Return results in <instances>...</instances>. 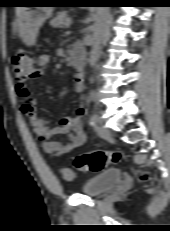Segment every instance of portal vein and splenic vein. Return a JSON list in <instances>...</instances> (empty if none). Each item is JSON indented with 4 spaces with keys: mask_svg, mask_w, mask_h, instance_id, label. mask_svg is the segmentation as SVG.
<instances>
[{
    "mask_svg": "<svg viewBox=\"0 0 170 231\" xmlns=\"http://www.w3.org/2000/svg\"><path fill=\"white\" fill-rule=\"evenodd\" d=\"M71 24V19H68L65 23L66 26H69Z\"/></svg>",
    "mask_w": 170,
    "mask_h": 231,
    "instance_id": "obj_1",
    "label": "portal vein and splenic vein"
}]
</instances>
